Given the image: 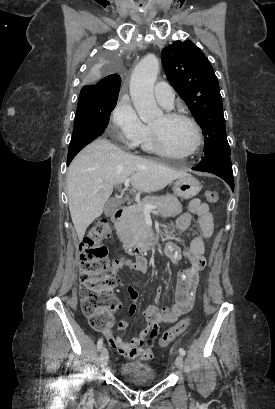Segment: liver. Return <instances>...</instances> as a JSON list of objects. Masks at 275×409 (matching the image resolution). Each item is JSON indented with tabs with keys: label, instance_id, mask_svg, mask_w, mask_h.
Here are the masks:
<instances>
[{
	"label": "liver",
	"instance_id": "6515ba94",
	"mask_svg": "<svg viewBox=\"0 0 275 409\" xmlns=\"http://www.w3.org/2000/svg\"><path fill=\"white\" fill-rule=\"evenodd\" d=\"M185 170H172L154 160L129 154L107 138L87 144L72 160L67 172L69 211L79 241L87 227L101 217L114 184L131 176L137 190H160L169 182L186 176Z\"/></svg>",
	"mask_w": 275,
	"mask_h": 409
}]
</instances>
